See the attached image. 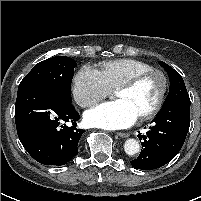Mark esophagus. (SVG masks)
Masks as SVG:
<instances>
[{
  "mask_svg": "<svg viewBox=\"0 0 201 201\" xmlns=\"http://www.w3.org/2000/svg\"><path fill=\"white\" fill-rule=\"evenodd\" d=\"M117 136L122 137V138H126L129 136V133L126 132H117Z\"/></svg>",
  "mask_w": 201,
  "mask_h": 201,
  "instance_id": "1",
  "label": "esophagus"
}]
</instances>
